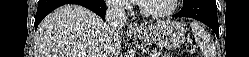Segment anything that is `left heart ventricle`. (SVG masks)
<instances>
[{
    "instance_id": "obj_1",
    "label": "left heart ventricle",
    "mask_w": 249,
    "mask_h": 57,
    "mask_svg": "<svg viewBox=\"0 0 249 57\" xmlns=\"http://www.w3.org/2000/svg\"><path fill=\"white\" fill-rule=\"evenodd\" d=\"M142 3L149 12H161L170 7L171 0H144Z\"/></svg>"
}]
</instances>
